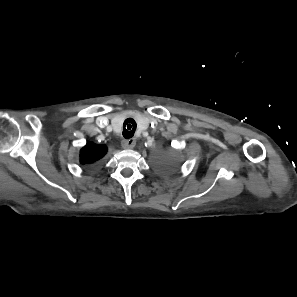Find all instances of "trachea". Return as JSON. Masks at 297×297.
Segmentation results:
<instances>
[{
	"label": "trachea",
	"instance_id": "3493384b",
	"mask_svg": "<svg viewBox=\"0 0 297 297\" xmlns=\"http://www.w3.org/2000/svg\"><path fill=\"white\" fill-rule=\"evenodd\" d=\"M135 130L136 122L131 118L126 119L123 125V137L126 139L132 138L134 136Z\"/></svg>",
	"mask_w": 297,
	"mask_h": 297
}]
</instances>
